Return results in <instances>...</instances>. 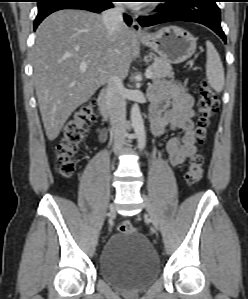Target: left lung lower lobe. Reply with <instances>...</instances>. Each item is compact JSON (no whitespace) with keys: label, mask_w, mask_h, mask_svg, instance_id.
I'll return each instance as SVG.
<instances>
[{"label":"left lung lower lobe","mask_w":248,"mask_h":299,"mask_svg":"<svg viewBox=\"0 0 248 299\" xmlns=\"http://www.w3.org/2000/svg\"><path fill=\"white\" fill-rule=\"evenodd\" d=\"M165 4L156 15L140 17L142 27L169 21H188L203 24L217 33L226 43L225 34L220 26L221 17L217 0H163Z\"/></svg>","instance_id":"0a47b994"}]
</instances>
